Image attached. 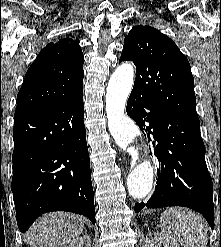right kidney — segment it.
I'll use <instances>...</instances> for the list:
<instances>
[{"label": "right kidney", "instance_id": "right-kidney-1", "mask_svg": "<svg viewBox=\"0 0 221 247\" xmlns=\"http://www.w3.org/2000/svg\"><path fill=\"white\" fill-rule=\"evenodd\" d=\"M69 247H91V238L88 235L77 237L70 242Z\"/></svg>", "mask_w": 221, "mask_h": 247}]
</instances>
